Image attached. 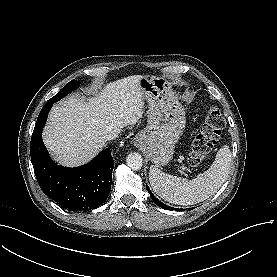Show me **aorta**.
Instances as JSON below:
<instances>
[{
    "instance_id": "aorta-1",
    "label": "aorta",
    "mask_w": 277,
    "mask_h": 277,
    "mask_svg": "<svg viewBox=\"0 0 277 277\" xmlns=\"http://www.w3.org/2000/svg\"><path fill=\"white\" fill-rule=\"evenodd\" d=\"M126 164L132 170H140L143 165V158L137 152L130 153L126 158Z\"/></svg>"
}]
</instances>
